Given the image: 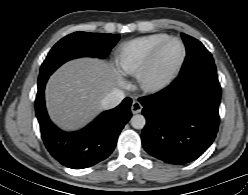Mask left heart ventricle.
I'll return each instance as SVG.
<instances>
[{"mask_svg": "<svg viewBox=\"0 0 248 195\" xmlns=\"http://www.w3.org/2000/svg\"><path fill=\"white\" fill-rule=\"evenodd\" d=\"M182 48L179 42L173 41L163 51L158 65V75H163L170 71L179 61Z\"/></svg>", "mask_w": 248, "mask_h": 195, "instance_id": "obj_1", "label": "left heart ventricle"}]
</instances>
